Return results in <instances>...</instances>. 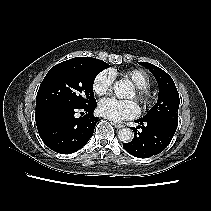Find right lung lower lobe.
Segmentation results:
<instances>
[{
    "label": "right lung lower lobe",
    "mask_w": 211,
    "mask_h": 211,
    "mask_svg": "<svg viewBox=\"0 0 211 211\" xmlns=\"http://www.w3.org/2000/svg\"><path fill=\"white\" fill-rule=\"evenodd\" d=\"M97 103L84 107L64 105L36 106V125L42 141L53 151L70 154L91 138L99 119L92 114ZM81 111V116L75 113Z\"/></svg>",
    "instance_id": "obj_1"
}]
</instances>
